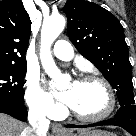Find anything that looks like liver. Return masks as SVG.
Masks as SVG:
<instances>
[{"mask_svg": "<svg viewBox=\"0 0 136 136\" xmlns=\"http://www.w3.org/2000/svg\"><path fill=\"white\" fill-rule=\"evenodd\" d=\"M89 129H81L78 132H85ZM33 134L30 127L26 124L6 115L0 113V136H28Z\"/></svg>", "mask_w": 136, "mask_h": 136, "instance_id": "obj_1", "label": "liver"}]
</instances>
